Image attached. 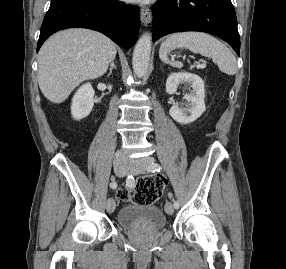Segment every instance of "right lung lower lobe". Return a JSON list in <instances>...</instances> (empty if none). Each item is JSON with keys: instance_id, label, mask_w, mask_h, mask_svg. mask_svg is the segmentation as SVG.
<instances>
[{"instance_id": "obj_1", "label": "right lung lower lobe", "mask_w": 286, "mask_h": 269, "mask_svg": "<svg viewBox=\"0 0 286 269\" xmlns=\"http://www.w3.org/2000/svg\"><path fill=\"white\" fill-rule=\"evenodd\" d=\"M140 10L117 0H60L51 3L41 26L37 52L53 33L72 27L99 31L124 49L138 37Z\"/></svg>"}]
</instances>
